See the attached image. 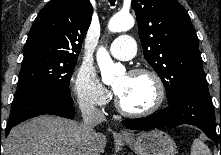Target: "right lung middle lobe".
Here are the masks:
<instances>
[{
  "mask_svg": "<svg viewBox=\"0 0 221 155\" xmlns=\"http://www.w3.org/2000/svg\"><path fill=\"white\" fill-rule=\"evenodd\" d=\"M76 62L77 59H63L44 54L24 57L12 105L33 88H46L70 95L69 82Z\"/></svg>",
  "mask_w": 221,
  "mask_h": 155,
  "instance_id": "right-lung-middle-lobe-1",
  "label": "right lung middle lobe"
}]
</instances>
